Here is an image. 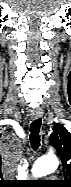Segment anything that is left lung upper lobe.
Returning a JSON list of instances; mask_svg holds the SVG:
<instances>
[{
  "instance_id": "5c2ea615",
  "label": "left lung upper lobe",
  "mask_w": 71,
  "mask_h": 187,
  "mask_svg": "<svg viewBox=\"0 0 71 187\" xmlns=\"http://www.w3.org/2000/svg\"><path fill=\"white\" fill-rule=\"evenodd\" d=\"M50 143L62 160L65 180L61 183L66 186L70 184L71 179V133L63 125L56 124L53 127Z\"/></svg>"
}]
</instances>
